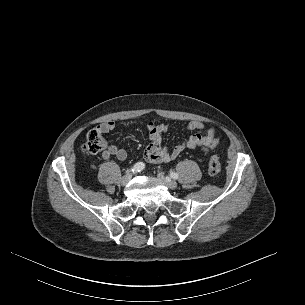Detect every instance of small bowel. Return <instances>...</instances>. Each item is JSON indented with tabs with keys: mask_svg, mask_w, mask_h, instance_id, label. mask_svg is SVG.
I'll return each instance as SVG.
<instances>
[{
	"mask_svg": "<svg viewBox=\"0 0 305 305\" xmlns=\"http://www.w3.org/2000/svg\"><path fill=\"white\" fill-rule=\"evenodd\" d=\"M116 124L114 121H106L100 124L97 129L103 134L114 130ZM187 129L194 132L187 139L176 145L172 150H168L162 144V135L171 130V127L166 124H157L149 122L146 126V132L149 137V144L144 151L145 159L150 163L161 164L171 162L176 159L185 149H200L208 152L216 147L219 143V138L215 129L206 128L202 121H191L187 124ZM104 159L112 157L118 160H126L128 157L127 151L118 145H109L102 153Z\"/></svg>",
	"mask_w": 305,
	"mask_h": 305,
	"instance_id": "c3829d8e",
	"label": "small bowel"
}]
</instances>
